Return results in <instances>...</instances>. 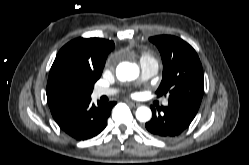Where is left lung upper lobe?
Returning <instances> with one entry per match:
<instances>
[{"mask_svg": "<svg viewBox=\"0 0 249 165\" xmlns=\"http://www.w3.org/2000/svg\"><path fill=\"white\" fill-rule=\"evenodd\" d=\"M160 51L163 78L157 90L176 101L198 108L204 93L202 65L196 51L182 39L160 35L149 38Z\"/></svg>", "mask_w": 249, "mask_h": 165, "instance_id": "obj_1", "label": "left lung upper lobe"}]
</instances>
